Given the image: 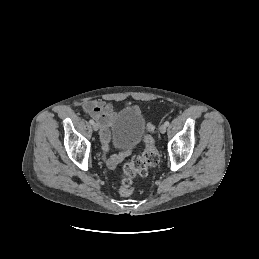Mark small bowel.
Here are the masks:
<instances>
[{
  "label": "small bowel",
  "instance_id": "obj_1",
  "mask_svg": "<svg viewBox=\"0 0 259 259\" xmlns=\"http://www.w3.org/2000/svg\"><path fill=\"white\" fill-rule=\"evenodd\" d=\"M83 108L86 113L92 116L94 119L98 121L100 124L103 134L102 140L104 144V151L108 149V129L113 121L114 112L113 106L105 101L101 100H89L86 101L83 105ZM129 154L128 151L122 152L118 155H114L108 159H106V164L110 168H115L117 164L122 161V159Z\"/></svg>",
  "mask_w": 259,
  "mask_h": 259
}]
</instances>
